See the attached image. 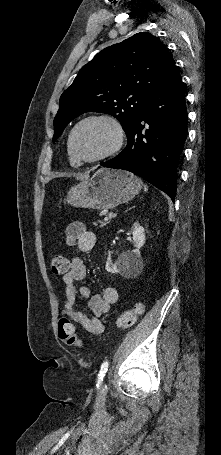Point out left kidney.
<instances>
[{
  "label": "left kidney",
  "mask_w": 221,
  "mask_h": 455,
  "mask_svg": "<svg viewBox=\"0 0 221 455\" xmlns=\"http://www.w3.org/2000/svg\"><path fill=\"white\" fill-rule=\"evenodd\" d=\"M131 230L136 249L128 252H123L120 254L115 263L112 262L111 254L109 252L105 267L108 272L114 274L126 273L134 270L138 266L141 260L140 249L144 245L146 238L144 228L140 226L138 222H135L133 224Z\"/></svg>",
  "instance_id": "1"
}]
</instances>
